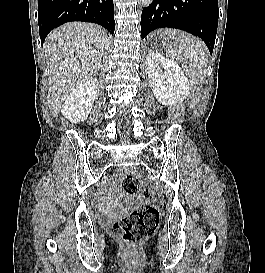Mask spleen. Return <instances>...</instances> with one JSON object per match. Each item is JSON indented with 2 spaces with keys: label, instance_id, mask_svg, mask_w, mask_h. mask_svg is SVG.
Instances as JSON below:
<instances>
[{
  "label": "spleen",
  "instance_id": "3e777b00",
  "mask_svg": "<svg viewBox=\"0 0 265 273\" xmlns=\"http://www.w3.org/2000/svg\"><path fill=\"white\" fill-rule=\"evenodd\" d=\"M163 41L171 40L167 53L172 57H177L180 53L186 62L184 69L190 75L193 84H202L206 77V67L208 55L205 44L188 33L176 29H167L163 33ZM188 64V65H187Z\"/></svg>",
  "mask_w": 265,
  "mask_h": 273
}]
</instances>
